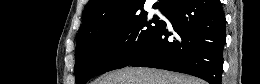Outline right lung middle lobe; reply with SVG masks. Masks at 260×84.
<instances>
[{
	"instance_id": "1",
	"label": "right lung middle lobe",
	"mask_w": 260,
	"mask_h": 84,
	"mask_svg": "<svg viewBox=\"0 0 260 84\" xmlns=\"http://www.w3.org/2000/svg\"><path fill=\"white\" fill-rule=\"evenodd\" d=\"M163 24L156 15L147 20L145 11L95 24L85 37L76 41V84H85L96 75L128 66L149 48Z\"/></svg>"
}]
</instances>
